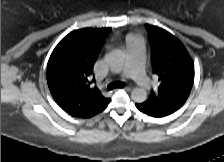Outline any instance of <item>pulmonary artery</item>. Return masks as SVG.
I'll use <instances>...</instances> for the list:
<instances>
[{
	"instance_id": "pulmonary-artery-1",
	"label": "pulmonary artery",
	"mask_w": 224,
	"mask_h": 162,
	"mask_svg": "<svg viewBox=\"0 0 224 162\" xmlns=\"http://www.w3.org/2000/svg\"><path fill=\"white\" fill-rule=\"evenodd\" d=\"M122 75L132 78L142 88L151 85L152 81L146 75L144 69V52L141 39H134L127 44L126 62Z\"/></svg>"
}]
</instances>
